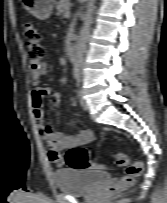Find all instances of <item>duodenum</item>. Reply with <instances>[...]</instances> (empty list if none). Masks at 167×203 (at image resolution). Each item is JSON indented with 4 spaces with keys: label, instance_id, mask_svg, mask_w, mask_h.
<instances>
[{
    "label": "duodenum",
    "instance_id": "1",
    "mask_svg": "<svg viewBox=\"0 0 167 203\" xmlns=\"http://www.w3.org/2000/svg\"><path fill=\"white\" fill-rule=\"evenodd\" d=\"M76 46L75 45H71L68 49V52H67V57H68V60L73 62L75 61V58H76Z\"/></svg>",
    "mask_w": 167,
    "mask_h": 203
}]
</instances>
